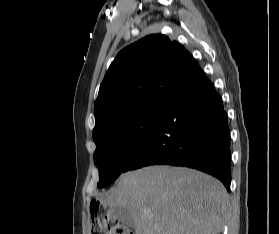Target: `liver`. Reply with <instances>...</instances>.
I'll return each mask as SVG.
<instances>
[{"mask_svg":"<svg viewBox=\"0 0 279 234\" xmlns=\"http://www.w3.org/2000/svg\"><path fill=\"white\" fill-rule=\"evenodd\" d=\"M100 201L127 209L135 234H219L229 213V196L219 180L182 167L126 172Z\"/></svg>","mask_w":279,"mask_h":234,"instance_id":"1","label":"liver"}]
</instances>
